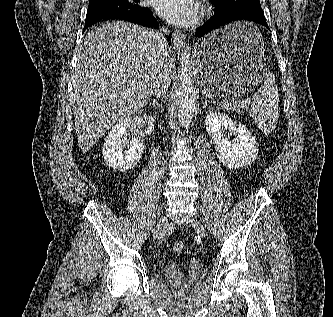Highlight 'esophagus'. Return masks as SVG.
<instances>
[{
	"instance_id": "esophagus-1",
	"label": "esophagus",
	"mask_w": 333,
	"mask_h": 317,
	"mask_svg": "<svg viewBox=\"0 0 333 317\" xmlns=\"http://www.w3.org/2000/svg\"><path fill=\"white\" fill-rule=\"evenodd\" d=\"M172 42L175 50L180 53L184 44V34L181 31H174L172 34Z\"/></svg>"
}]
</instances>
